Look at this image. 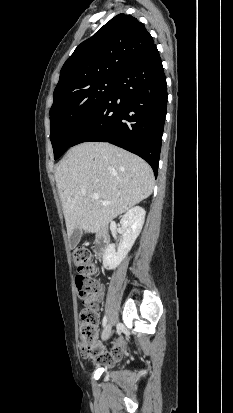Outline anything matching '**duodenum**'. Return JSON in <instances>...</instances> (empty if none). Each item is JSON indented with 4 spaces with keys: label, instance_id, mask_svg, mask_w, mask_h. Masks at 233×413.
<instances>
[{
    "label": "duodenum",
    "instance_id": "duodenum-1",
    "mask_svg": "<svg viewBox=\"0 0 233 413\" xmlns=\"http://www.w3.org/2000/svg\"><path fill=\"white\" fill-rule=\"evenodd\" d=\"M110 237L106 230L100 229L96 232L93 251L97 256L103 255L109 244Z\"/></svg>",
    "mask_w": 233,
    "mask_h": 413
}]
</instances>
